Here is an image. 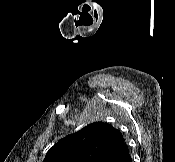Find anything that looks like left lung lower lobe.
Listing matches in <instances>:
<instances>
[{"label":"left lung lower lobe","instance_id":"obj_1","mask_svg":"<svg viewBox=\"0 0 175 162\" xmlns=\"http://www.w3.org/2000/svg\"><path fill=\"white\" fill-rule=\"evenodd\" d=\"M105 162H132L128 146L124 141L114 148Z\"/></svg>","mask_w":175,"mask_h":162}]
</instances>
